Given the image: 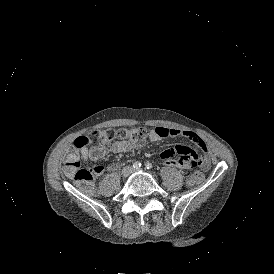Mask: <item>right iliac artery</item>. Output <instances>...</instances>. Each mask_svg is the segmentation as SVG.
I'll return each mask as SVG.
<instances>
[{
  "instance_id": "right-iliac-artery-1",
  "label": "right iliac artery",
  "mask_w": 274,
  "mask_h": 274,
  "mask_svg": "<svg viewBox=\"0 0 274 274\" xmlns=\"http://www.w3.org/2000/svg\"><path fill=\"white\" fill-rule=\"evenodd\" d=\"M140 167H141V163L140 162L136 161V162L133 163V168L134 169H139Z\"/></svg>"
}]
</instances>
